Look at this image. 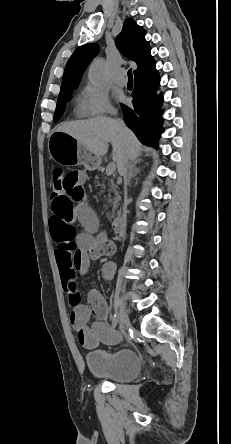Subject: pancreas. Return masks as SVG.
Instances as JSON below:
<instances>
[{
  "instance_id": "1",
  "label": "pancreas",
  "mask_w": 231,
  "mask_h": 444,
  "mask_svg": "<svg viewBox=\"0 0 231 444\" xmlns=\"http://www.w3.org/2000/svg\"><path fill=\"white\" fill-rule=\"evenodd\" d=\"M119 195H118V193L117 192H115V204H114V206L117 204V202L119 201Z\"/></svg>"
}]
</instances>
